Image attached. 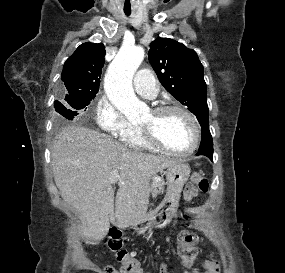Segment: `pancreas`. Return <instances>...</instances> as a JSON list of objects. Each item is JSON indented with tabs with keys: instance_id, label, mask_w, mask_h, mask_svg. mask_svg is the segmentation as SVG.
I'll use <instances>...</instances> for the list:
<instances>
[{
	"instance_id": "1",
	"label": "pancreas",
	"mask_w": 285,
	"mask_h": 273,
	"mask_svg": "<svg viewBox=\"0 0 285 273\" xmlns=\"http://www.w3.org/2000/svg\"><path fill=\"white\" fill-rule=\"evenodd\" d=\"M152 197H156L159 193L164 191V186L160 181L153 180L151 183Z\"/></svg>"
}]
</instances>
